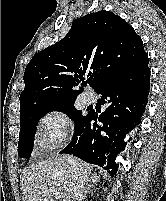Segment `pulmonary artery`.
<instances>
[{"label":"pulmonary artery","mask_w":166,"mask_h":201,"mask_svg":"<svg viewBox=\"0 0 166 201\" xmlns=\"http://www.w3.org/2000/svg\"><path fill=\"white\" fill-rule=\"evenodd\" d=\"M82 99L86 104H90L94 101V96L92 93L85 91L82 93Z\"/></svg>","instance_id":"pulmonary-artery-1"}]
</instances>
